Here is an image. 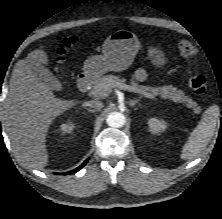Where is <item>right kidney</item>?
I'll return each mask as SVG.
<instances>
[{
    "label": "right kidney",
    "instance_id": "obj_1",
    "mask_svg": "<svg viewBox=\"0 0 222 219\" xmlns=\"http://www.w3.org/2000/svg\"><path fill=\"white\" fill-rule=\"evenodd\" d=\"M75 125L72 122H68L65 124H62L60 127V130L62 131V134H70L74 130Z\"/></svg>",
    "mask_w": 222,
    "mask_h": 219
}]
</instances>
